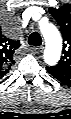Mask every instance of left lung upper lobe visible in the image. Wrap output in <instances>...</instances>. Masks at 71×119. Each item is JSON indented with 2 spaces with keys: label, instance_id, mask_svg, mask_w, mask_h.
Wrapping results in <instances>:
<instances>
[{
  "label": "left lung upper lobe",
  "instance_id": "left-lung-upper-lobe-1",
  "mask_svg": "<svg viewBox=\"0 0 71 119\" xmlns=\"http://www.w3.org/2000/svg\"><path fill=\"white\" fill-rule=\"evenodd\" d=\"M49 12L60 25L64 40L63 55L54 67L71 71V5H63L58 9L50 7Z\"/></svg>",
  "mask_w": 71,
  "mask_h": 119
}]
</instances>
